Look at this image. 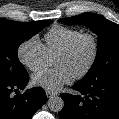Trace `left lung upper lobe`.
<instances>
[{
  "label": "left lung upper lobe",
  "instance_id": "1",
  "mask_svg": "<svg viewBox=\"0 0 119 119\" xmlns=\"http://www.w3.org/2000/svg\"><path fill=\"white\" fill-rule=\"evenodd\" d=\"M65 24L85 25L98 35L96 59L79 82L119 79V25L95 13H83L59 19Z\"/></svg>",
  "mask_w": 119,
  "mask_h": 119
}]
</instances>
